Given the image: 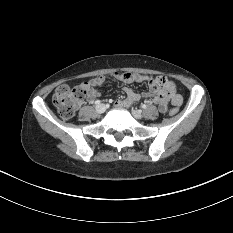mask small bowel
Returning a JSON list of instances; mask_svg holds the SVG:
<instances>
[{
    "label": "small bowel",
    "mask_w": 233,
    "mask_h": 233,
    "mask_svg": "<svg viewBox=\"0 0 233 233\" xmlns=\"http://www.w3.org/2000/svg\"><path fill=\"white\" fill-rule=\"evenodd\" d=\"M111 77L126 84L130 83H147L150 91L145 93H136L132 89L125 87L123 89L125 97L115 102L117 107L127 108L138 102L142 97H153V103L159 108L160 112L165 113L169 108V102L174 106H180L182 99L176 92L178 85L175 81H170L164 76L150 77L143 74L133 73H112ZM106 81V76L101 75L86 83L87 100L93 102L99 96L98 87ZM170 90V91H169Z\"/></svg>",
    "instance_id": "c3829d8e"
}]
</instances>
